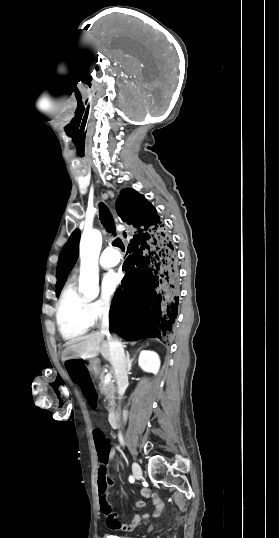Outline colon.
I'll return each instance as SVG.
<instances>
[{
    "label": "colon",
    "mask_w": 279,
    "mask_h": 538,
    "mask_svg": "<svg viewBox=\"0 0 279 538\" xmlns=\"http://www.w3.org/2000/svg\"><path fill=\"white\" fill-rule=\"evenodd\" d=\"M93 439L98 455V491L100 505L106 518L113 516L112 505L108 497L107 466L110 459L111 447L105 433L96 429L93 431Z\"/></svg>",
    "instance_id": "1"
}]
</instances>
